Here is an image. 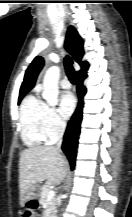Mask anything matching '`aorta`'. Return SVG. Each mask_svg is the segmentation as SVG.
Instances as JSON below:
<instances>
[{"mask_svg": "<svg viewBox=\"0 0 132 217\" xmlns=\"http://www.w3.org/2000/svg\"><path fill=\"white\" fill-rule=\"evenodd\" d=\"M60 77V68L51 66L45 73L43 85V98L51 106H55L58 102V81Z\"/></svg>", "mask_w": 132, "mask_h": 217, "instance_id": "obj_1", "label": "aorta"}]
</instances>
